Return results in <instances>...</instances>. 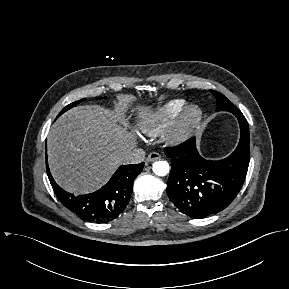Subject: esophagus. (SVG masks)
I'll return each mask as SVG.
<instances>
[{
  "mask_svg": "<svg viewBox=\"0 0 289 289\" xmlns=\"http://www.w3.org/2000/svg\"><path fill=\"white\" fill-rule=\"evenodd\" d=\"M161 158V155L157 152H152L148 155L147 157V161L148 162H153V161H156V160H159Z\"/></svg>",
  "mask_w": 289,
  "mask_h": 289,
  "instance_id": "1",
  "label": "esophagus"
}]
</instances>
